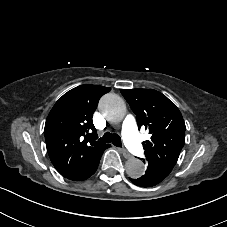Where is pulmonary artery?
I'll return each instance as SVG.
<instances>
[{
	"label": "pulmonary artery",
	"instance_id": "obj_1",
	"mask_svg": "<svg viewBox=\"0 0 227 227\" xmlns=\"http://www.w3.org/2000/svg\"><path fill=\"white\" fill-rule=\"evenodd\" d=\"M123 145L133 156H141L144 153V145L137 137L136 119L132 114L123 119Z\"/></svg>",
	"mask_w": 227,
	"mask_h": 227
}]
</instances>
